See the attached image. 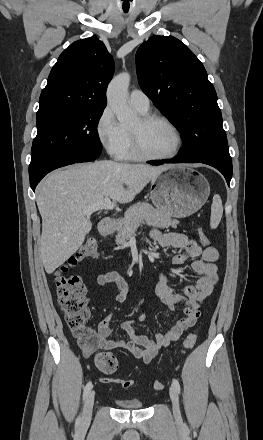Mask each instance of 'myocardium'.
<instances>
[{
  "mask_svg": "<svg viewBox=\"0 0 263 440\" xmlns=\"http://www.w3.org/2000/svg\"><path fill=\"white\" fill-rule=\"evenodd\" d=\"M139 120L142 125H147V124L154 122V121H161V122H164L165 124H167L175 135L176 146L171 153L166 154V155L151 154V153L147 152L146 149L143 147L140 136L138 135V133L136 131L130 129L129 134H130V138H131L132 150L138 158L144 159V160L162 161V160L173 159L180 153L182 146H183V137H182L180 130L178 129V127L174 124V122L171 119H169L168 117L161 115V114L145 113L139 117Z\"/></svg>",
  "mask_w": 263,
  "mask_h": 440,
  "instance_id": "1",
  "label": "myocardium"
}]
</instances>
